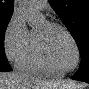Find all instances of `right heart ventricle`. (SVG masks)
<instances>
[{"label": "right heart ventricle", "mask_w": 89, "mask_h": 89, "mask_svg": "<svg viewBox=\"0 0 89 89\" xmlns=\"http://www.w3.org/2000/svg\"><path fill=\"white\" fill-rule=\"evenodd\" d=\"M17 67L21 71L28 74L47 77H60V75L52 71L45 62L39 47L37 30L30 31L29 48L17 63Z\"/></svg>", "instance_id": "1"}]
</instances>
